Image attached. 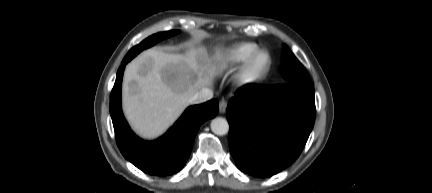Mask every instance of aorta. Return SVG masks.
I'll return each mask as SVG.
<instances>
[{
    "label": "aorta",
    "mask_w": 432,
    "mask_h": 193,
    "mask_svg": "<svg viewBox=\"0 0 432 193\" xmlns=\"http://www.w3.org/2000/svg\"><path fill=\"white\" fill-rule=\"evenodd\" d=\"M211 130L216 135H225L229 131V124L226 119L222 117L214 118L210 124Z\"/></svg>",
    "instance_id": "1"
}]
</instances>
